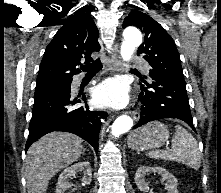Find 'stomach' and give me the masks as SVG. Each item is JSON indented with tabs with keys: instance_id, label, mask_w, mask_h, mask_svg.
I'll return each mask as SVG.
<instances>
[{
	"instance_id": "stomach-1",
	"label": "stomach",
	"mask_w": 221,
	"mask_h": 193,
	"mask_svg": "<svg viewBox=\"0 0 221 193\" xmlns=\"http://www.w3.org/2000/svg\"><path fill=\"white\" fill-rule=\"evenodd\" d=\"M169 138V130L159 121L150 122L131 132L128 136V146L137 151L159 148Z\"/></svg>"
}]
</instances>
